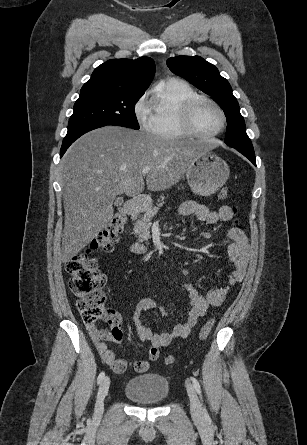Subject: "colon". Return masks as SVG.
<instances>
[{
    "instance_id": "1",
    "label": "colon",
    "mask_w": 307,
    "mask_h": 445,
    "mask_svg": "<svg viewBox=\"0 0 307 445\" xmlns=\"http://www.w3.org/2000/svg\"><path fill=\"white\" fill-rule=\"evenodd\" d=\"M229 191L223 188L219 192V199H227ZM127 223L126 214L116 213L103 231L94 241L92 250L111 252L117 243L120 234ZM66 270L70 274L69 287L71 292L78 298L77 308L85 324H92L101 319L111 326L109 330V341L119 343L122 340L121 317L106 303V296L102 291L106 277L99 269L97 261L87 254L73 257L66 263ZM214 325V318L208 319L201 327L199 340H205ZM175 359L172 355L165 357L166 365H172Z\"/></svg>"
}]
</instances>
